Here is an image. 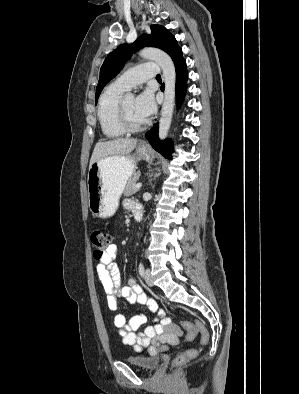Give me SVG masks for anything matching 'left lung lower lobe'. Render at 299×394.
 <instances>
[{"mask_svg":"<svg viewBox=\"0 0 299 394\" xmlns=\"http://www.w3.org/2000/svg\"><path fill=\"white\" fill-rule=\"evenodd\" d=\"M172 60L176 68L177 105L180 106L183 102L187 90V79H188L186 62L183 59L181 49L172 58ZM163 90H164V85H162V91ZM146 138L155 150L161 152L163 156L167 158H171V153L173 152L172 143L170 141H163V142L159 141L158 125H155L150 131L146 133Z\"/></svg>","mask_w":299,"mask_h":394,"instance_id":"1","label":"left lung lower lobe"}]
</instances>
